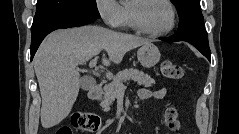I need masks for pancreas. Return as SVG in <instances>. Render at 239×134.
I'll return each instance as SVG.
<instances>
[{
  "label": "pancreas",
  "instance_id": "pancreas-1",
  "mask_svg": "<svg viewBox=\"0 0 239 134\" xmlns=\"http://www.w3.org/2000/svg\"><path fill=\"white\" fill-rule=\"evenodd\" d=\"M128 80H134L138 85L144 87H152L155 84L153 78L138 69L130 68L120 71L113 77L112 82L104 86V97L100 105L105 112L110 111V105L117 96L120 84Z\"/></svg>",
  "mask_w": 239,
  "mask_h": 134
}]
</instances>
